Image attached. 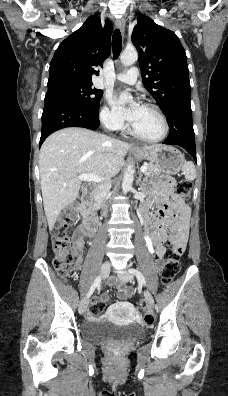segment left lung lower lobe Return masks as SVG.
Returning a JSON list of instances; mask_svg holds the SVG:
<instances>
[{
    "label": "left lung lower lobe",
    "mask_w": 228,
    "mask_h": 396,
    "mask_svg": "<svg viewBox=\"0 0 228 396\" xmlns=\"http://www.w3.org/2000/svg\"><path fill=\"white\" fill-rule=\"evenodd\" d=\"M174 105H179L182 112L178 117H175L174 107H171L164 113L170 126V132L163 144L183 147L197 162L191 101L190 99H183Z\"/></svg>",
    "instance_id": "obj_1"
}]
</instances>
